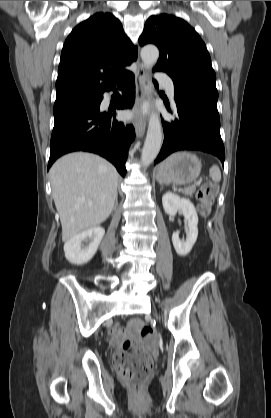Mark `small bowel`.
I'll use <instances>...</instances> for the list:
<instances>
[{
	"mask_svg": "<svg viewBox=\"0 0 271 418\" xmlns=\"http://www.w3.org/2000/svg\"><path fill=\"white\" fill-rule=\"evenodd\" d=\"M118 338V333L116 332L115 335L113 336L112 342L115 343L117 341Z\"/></svg>",
	"mask_w": 271,
	"mask_h": 418,
	"instance_id": "1",
	"label": "small bowel"
}]
</instances>
